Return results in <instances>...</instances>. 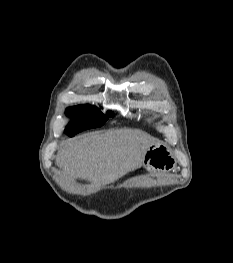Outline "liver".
<instances>
[{
    "label": "liver",
    "mask_w": 233,
    "mask_h": 263,
    "mask_svg": "<svg viewBox=\"0 0 233 263\" xmlns=\"http://www.w3.org/2000/svg\"><path fill=\"white\" fill-rule=\"evenodd\" d=\"M154 144L156 139L140 130L95 132L68 142L59 150L56 165L66 179L90 181L89 189L95 191L142 167L146 151Z\"/></svg>",
    "instance_id": "liver-1"
}]
</instances>
